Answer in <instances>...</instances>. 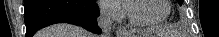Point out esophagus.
I'll return each mask as SVG.
<instances>
[{
  "mask_svg": "<svg viewBox=\"0 0 219 37\" xmlns=\"http://www.w3.org/2000/svg\"><path fill=\"white\" fill-rule=\"evenodd\" d=\"M116 33H117V35L120 36V37H123L124 35L127 34L126 30L123 29L122 27H118Z\"/></svg>",
  "mask_w": 219,
  "mask_h": 37,
  "instance_id": "esophagus-1",
  "label": "esophagus"
}]
</instances>
